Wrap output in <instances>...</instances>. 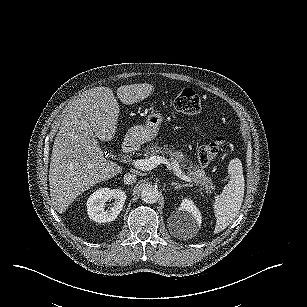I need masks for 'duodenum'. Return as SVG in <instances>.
<instances>
[{"label": "duodenum", "instance_id": "obj_1", "mask_svg": "<svg viewBox=\"0 0 307 307\" xmlns=\"http://www.w3.org/2000/svg\"><path fill=\"white\" fill-rule=\"evenodd\" d=\"M134 150V144L131 141H128L124 144V151L126 153H131Z\"/></svg>", "mask_w": 307, "mask_h": 307}]
</instances>
